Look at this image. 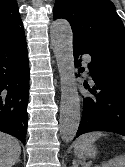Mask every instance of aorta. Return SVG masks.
I'll return each mask as SVG.
<instances>
[{"label": "aorta", "instance_id": "aorta-1", "mask_svg": "<svg viewBox=\"0 0 125 167\" xmlns=\"http://www.w3.org/2000/svg\"><path fill=\"white\" fill-rule=\"evenodd\" d=\"M50 37L61 80L60 135L63 141L70 142L76 136L81 119L70 24L64 19L55 20L50 27Z\"/></svg>", "mask_w": 125, "mask_h": 167}]
</instances>
